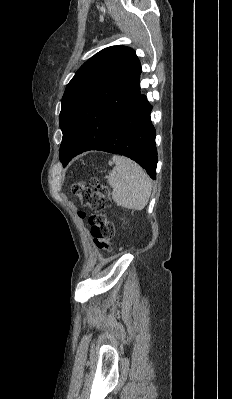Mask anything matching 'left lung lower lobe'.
<instances>
[{"label":"left lung lower lobe","instance_id":"obj_1","mask_svg":"<svg viewBox=\"0 0 232 399\" xmlns=\"http://www.w3.org/2000/svg\"><path fill=\"white\" fill-rule=\"evenodd\" d=\"M151 110L147 97L139 92L110 132L89 150L129 157L141 165L152 179H156V130L150 120Z\"/></svg>","mask_w":232,"mask_h":399}]
</instances>
